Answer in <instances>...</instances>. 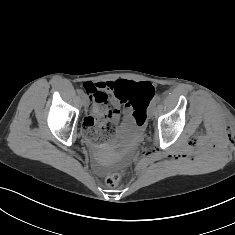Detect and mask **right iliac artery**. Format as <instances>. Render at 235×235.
Masks as SVG:
<instances>
[{
  "mask_svg": "<svg viewBox=\"0 0 235 235\" xmlns=\"http://www.w3.org/2000/svg\"><path fill=\"white\" fill-rule=\"evenodd\" d=\"M78 94H79L80 96H84V92H83L81 89L78 90Z\"/></svg>",
  "mask_w": 235,
  "mask_h": 235,
  "instance_id": "82829eb1",
  "label": "right iliac artery"
}]
</instances>
